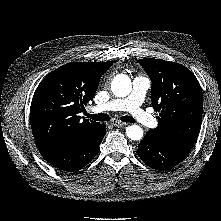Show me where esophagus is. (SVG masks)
Here are the masks:
<instances>
[{"label":"esophagus","mask_w":221,"mask_h":221,"mask_svg":"<svg viewBox=\"0 0 221 221\" xmlns=\"http://www.w3.org/2000/svg\"><path fill=\"white\" fill-rule=\"evenodd\" d=\"M112 125L114 126V127H123V126H126L127 125V123H124V122H121V121H113L112 122Z\"/></svg>","instance_id":"34e87169"}]
</instances>
